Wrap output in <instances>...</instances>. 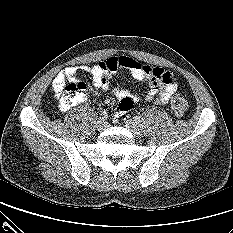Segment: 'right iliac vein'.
Returning <instances> with one entry per match:
<instances>
[{"label": "right iliac vein", "mask_w": 233, "mask_h": 233, "mask_svg": "<svg viewBox=\"0 0 233 233\" xmlns=\"http://www.w3.org/2000/svg\"><path fill=\"white\" fill-rule=\"evenodd\" d=\"M106 127H107V122H106L104 119H100V120L97 122V129H98L99 131L104 130Z\"/></svg>", "instance_id": "1"}]
</instances>
